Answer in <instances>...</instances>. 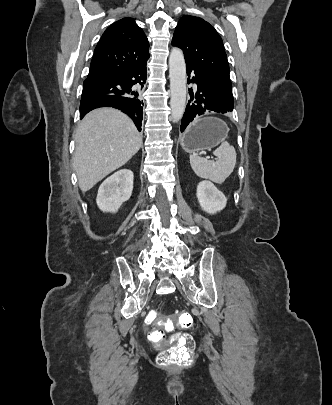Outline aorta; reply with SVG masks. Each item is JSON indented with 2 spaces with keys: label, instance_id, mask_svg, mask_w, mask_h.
Segmentation results:
<instances>
[{
  "label": "aorta",
  "instance_id": "762f6f07",
  "mask_svg": "<svg viewBox=\"0 0 332 405\" xmlns=\"http://www.w3.org/2000/svg\"><path fill=\"white\" fill-rule=\"evenodd\" d=\"M169 77L171 91V117L178 122L186 108V64L181 49L172 48L169 56Z\"/></svg>",
  "mask_w": 332,
  "mask_h": 405
}]
</instances>
